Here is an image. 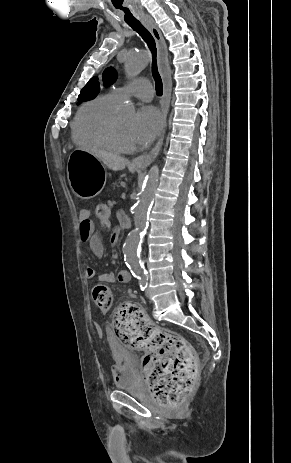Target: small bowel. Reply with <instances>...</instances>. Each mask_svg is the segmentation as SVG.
<instances>
[{"mask_svg": "<svg viewBox=\"0 0 291 463\" xmlns=\"http://www.w3.org/2000/svg\"><path fill=\"white\" fill-rule=\"evenodd\" d=\"M109 224L104 227L110 226V216ZM122 228L120 226H113L110 231L111 244L113 246H118L120 244ZM79 238L82 241H88L89 248L91 252L98 258H101L104 254V244L101 236L95 232L94 223L90 218V211L86 208H83L79 211ZM85 277L87 279L96 278V271L92 268H87L85 270ZM98 280L105 283H115L116 281L120 283H128L130 281V274L126 270H122L116 276L112 271H107L99 275ZM115 372V371H114ZM115 378V375H114Z\"/></svg>", "mask_w": 291, "mask_h": 463, "instance_id": "1", "label": "small bowel"}]
</instances>
